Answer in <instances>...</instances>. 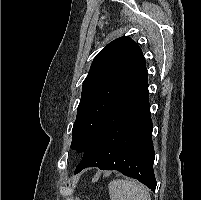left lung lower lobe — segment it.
Instances as JSON below:
<instances>
[{
	"mask_svg": "<svg viewBox=\"0 0 201 200\" xmlns=\"http://www.w3.org/2000/svg\"><path fill=\"white\" fill-rule=\"evenodd\" d=\"M148 94L146 77L108 114L75 174L92 166L118 170L155 191L153 124Z\"/></svg>",
	"mask_w": 201,
	"mask_h": 200,
	"instance_id": "1",
	"label": "left lung lower lobe"
}]
</instances>
